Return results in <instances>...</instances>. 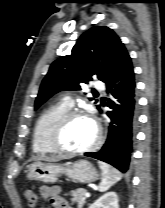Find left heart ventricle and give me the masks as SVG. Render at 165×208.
I'll use <instances>...</instances> for the list:
<instances>
[{"label":"left heart ventricle","mask_w":165,"mask_h":208,"mask_svg":"<svg viewBox=\"0 0 165 208\" xmlns=\"http://www.w3.org/2000/svg\"><path fill=\"white\" fill-rule=\"evenodd\" d=\"M94 138L93 122L86 117H77L63 131L61 142L68 149H82L89 146Z\"/></svg>","instance_id":"obj_1"}]
</instances>
